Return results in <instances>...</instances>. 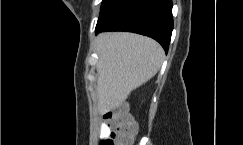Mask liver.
<instances>
[{"mask_svg": "<svg viewBox=\"0 0 243 145\" xmlns=\"http://www.w3.org/2000/svg\"><path fill=\"white\" fill-rule=\"evenodd\" d=\"M96 51V91L101 113L120 107L133 90L158 72L164 58L156 41L133 33H102Z\"/></svg>", "mask_w": 243, "mask_h": 145, "instance_id": "6515ba94", "label": "liver"}]
</instances>
